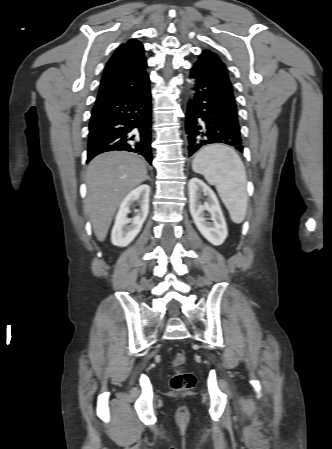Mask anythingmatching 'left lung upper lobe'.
I'll list each match as a JSON object with an SVG mask.
<instances>
[{
    "mask_svg": "<svg viewBox=\"0 0 332 449\" xmlns=\"http://www.w3.org/2000/svg\"><path fill=\"white\" fill-rule=\"evenodd\" d=\"M197 62L212 65V66L218 68L221 72H223L228 77L225 65L222 63V61L219 59V57L215 53H213L209 50H204L203 53L199 56V59Z\"/></svg>",
    "mask_w": 332,
    "mask_h": 449,
    "instance_id": "left-lung-upper-lobe-1",
    "label": "left lung upper lobe"
}]
</instances>
